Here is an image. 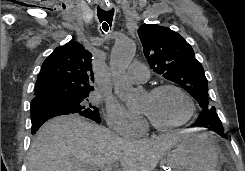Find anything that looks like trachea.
Masks as SVG:
<instances>
[{
  "mask_svg": "<svg viewBox=\"0 0 245 171\" xmlns=\"http://www.w3.org/2000/svg\"><path fill=\"white\" fill-rule=\"evenodd\" d=\"M114 10H104L98 7L97 16L101 23L102 30L107 32L112 25Z\"/></svg>",
  "mask_w": 245,
  "mask_h": 171,
  "instance_id": "3493384b",
  "label": "trachea"
}]
</instances>
